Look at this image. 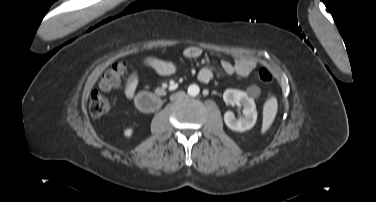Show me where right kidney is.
Returning <instances> with one entry per match:
<instances>
[{"mask_svg":"<svg viewBox=\"0 0 376 202\" xmlns=\"http://www.w3.org/2000/svg\"><path fill=\"white\" fill-rule=\"evenodd\" d=\"M132 133H133V129H131V128L124 131V135L126 137H130L132 135Z\"/></svg>","mask_w":376,"mask_h":202,"instance_id":"1","label":"right kidney"}]
</instances>
